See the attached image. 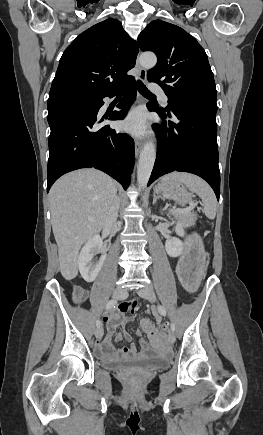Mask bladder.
<instances>
[{"label":"bladder","mask_w":263,"mask_h":435,"mask_svg":"<svg viewBox=\"0 0 263 435\" xmlns=\"http://www.w3.org/2000/svg\"><path fill=\"white\" fill-rule=\"evenodd\" d=\"M168 362L169 360L166 357L151 356L134 360H108L103 362V366L107 369H119L127 365H136L143 368L157 369L166 366Z\"/></svg>","instance_id":"31cf9c89"}]
</instances>
